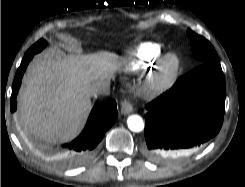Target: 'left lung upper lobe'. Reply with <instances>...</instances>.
Returning <instances> with one entry per match:
<instances>
[{"label":"left lung upper lobe","mask_w":245,"mask_h":187,"mask_svg":"<svg viewBox=\"0 0 245 187\" xmlns=\"http://www.w3.org/2000/svg\"><path fill=\"white\" fill-rule=\"evenodd\" d=\"M188 37L192 45L193 56L201 63L217 60V53L212 44L203 36L194 33L188 29Z\"/></svg>","instance_id":"5c2ea615"}]
</instances>
